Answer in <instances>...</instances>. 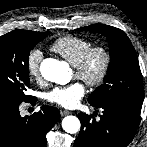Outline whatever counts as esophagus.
Segmentation results:
<instances>
[{
  "instance_id": "34e87169",
  "label": "esophagus",
  "mask_w": 147,
  "mask_h": 147,
  "mask_svg": "<svg viewBox=\"0 0 147 147\" xmlns=\"http://www.w3.org/2000/svg\"><path fill=\"white\" fill-rule=\"evenodd\" d=\"M60 114H61V116H65V115L70 114V112L67 110H61Z\"/></svg>"
}]
</instances>
